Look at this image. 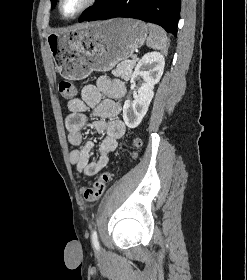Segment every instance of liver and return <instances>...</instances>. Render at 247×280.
Here are the masks:
<instances>
[{"instance_id":"liver-1","label":"liver","mask_w":247,"mask_h":280,"mask_svg":"<svg viewBox=\"0 0 247 280\" xmlns=\"http://www.w3.org/2000/svg\"><path fill=\"white\" fill-rule=\"evenodd\" d=\"M82 26H84V25H76L74 28H79V27H82Z\"/></svg>"}]
</instances>
